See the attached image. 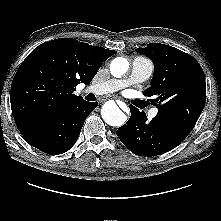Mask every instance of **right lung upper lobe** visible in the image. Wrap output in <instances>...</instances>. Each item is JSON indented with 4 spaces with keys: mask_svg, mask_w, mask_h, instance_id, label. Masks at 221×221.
Here are the masks:
<instances>
[{
    "mask_svg": "<svg viewBox=\"0 0 221 221\" xmlns=\"http://www.w3.org/2000/svg\"><path fill=\"white\" fill-rule=\"evenodd\" d=\"M116 51L60 38L36 47L19 67L11 86L10 102L21 133L38 122L83 101L73 91L89 84L100 66Z\"/></svg>",
    "mask_w": 221,
    "mask_h": 221,
    "instance_id": "obj_1",
    "label": "right lung upper lobe"
}]
</instances>
